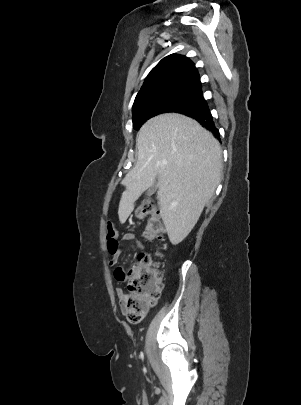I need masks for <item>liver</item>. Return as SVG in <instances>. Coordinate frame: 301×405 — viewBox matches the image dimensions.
<instances>
[{
  "mask_svg": "<svg viewBox=\"0 0 301 405\" xmlns=\"http://www.w3.org/2000/svg\"><path fill=\"white\" fill-rule=\"evenodd\" d=\"M136 148L137 163L122 181L126 190L119 202V220H127L135 201L157 178L160 215L176 245L191 232L220 182V144L196 120L167 113L141 127Z\"/></svg>",
  "mask_w": 301,
  "mask_h": 405,
  "instance_id": "1",
  "label": "liver"
}]
</instances>
